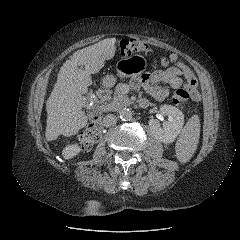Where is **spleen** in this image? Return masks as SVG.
<instances>
[{
	"label": "spleen",
	"mask_w": 240,
	"mask_h": 240,
	"mask_svg": "<svg viewBox=\"0 0 240 240\" xmlns=\"http://www.w3.org/2000/svg\"><path fill=\"white\" fill-rule=\"evenodd\" d=\"M200 137V119L198 115H193L176 142V157L181 163H186L191 159L197 149Z\"/></svg>",
	"instance_id": "3e777b00"
}]
</instances>
